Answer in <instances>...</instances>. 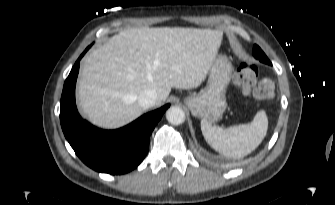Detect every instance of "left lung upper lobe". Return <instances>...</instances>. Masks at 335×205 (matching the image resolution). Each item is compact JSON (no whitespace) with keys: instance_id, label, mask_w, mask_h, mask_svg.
I'll use <instances>...</instances> for the list:
<instances>
[{"instance_id":"left-lung-upper-lobe-1","label":"left lung upper lobe","mask_w":335,"mask_h":205,"mask_svg":"<svg viewBox=\"0 0 335 205\" xmlns=\"http://www.w3.org/2000/svg\"><path fill=\"white\" fill-rule=\"evenodd\" d=\"M253 56L258 59L259 61L271 65L270 60L267 58V56L265 55V53L261 50V48L257 45H254L253 48Z\"/></svg>"}]
</instances>
